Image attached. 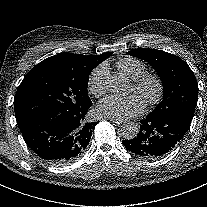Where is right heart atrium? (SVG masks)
<instances>
[{"label": "right heart atrium", "mask_w": 207, "mask_h": 207, "mask_svg": "<svg viewBox=\"0 0 207 207\" xmlns=\"http://www.w3.org/2000/svg\"><path fill=\"white\" fill-rule=\"evenodd\" d=\"M108 74H109V65L107 62H102L97 65L88 77V89L89 91L100 97L104 95L108 88Z\"/></svg>", "instance_id": "1"}]
</instances>
